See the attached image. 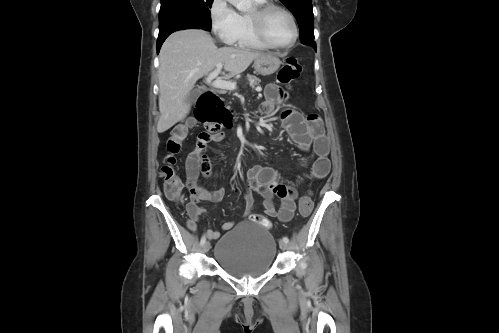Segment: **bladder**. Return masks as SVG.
<instances>
[{
	"instance_id": "bladder-1",
	"label": "bladder",
	"mask_w": 499,
	"mask_h": 333,
	"mask_svg": "<svg viewBox=\"0 0 499 333\" xmlns=\"http://www.w3.org/2000/svg\"><path fill=\"white\" fill-rule=\"evenodd\" d=\"M276 257V240L261 224L242 221L222 235L214 259L226 273L257 277L267 273Z\"/></svg>"
}]
</instances>
